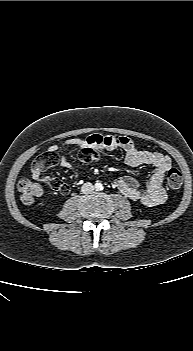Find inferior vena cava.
Instances as JSON below:
<instances>
[{"label": "inferior vena cava", "mask_w": 193, "mask_h": 351, "mask_svg": "<svg viewBox=\"0 0 193 351\" xmlns=\"http://www.w3.org/2000/svg\"><path fill=\"white\" fill-rule=\"evenodd\" d=\"M93 190H94V186L90 182L84 183L81 187V191L84 194H89V193L93 192Z\"/></svg>", "instance_id": "602c4592"}]
</instances>
